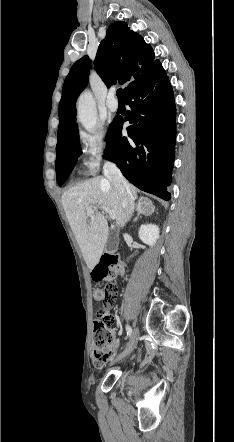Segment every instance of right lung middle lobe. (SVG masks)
<instances>
[{
  "label": "right lung middle lobe",
  "instance_id": "1",
  "mask_svg": "<svg viewBox=\"0 0 234 442\" xmlns=\"http://www.w3.org/2000/svg\"><path fill=\"white\" fill-rule=\"evenodd\" d=\"M113 123L110 124L109 130ZM108 135V134H107ZM57 158H56V177L57 183L62 185L74 167V162H76L82 151L79 148V135L78 130L70 137V139L56 148Z\"/></svg>",
  "mask_w": 234,
  "mask_h": 442
}]
</instances>
